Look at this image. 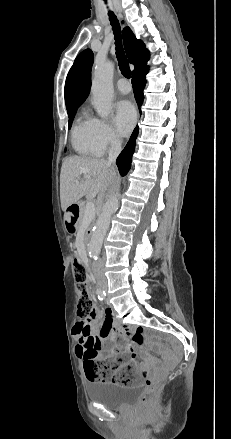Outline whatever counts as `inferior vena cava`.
Wrapping results in <instances>:
<instances>
[{
	"label": "inferior vena cava",
	"instance_id": "1",
	"mask_svg": "<svg viewBox=\"0 0 231 439\" xmlns=\"http://www.w3.org/2000/svg\"><path fill=\"white\" fill-rule=\"evenodd\" d=\"M121 145L122 142L119 138L115 137L111 141L107 162L108 164L112 165V167L115 164L119 153L121 152ZM103 266H104V261L102 259H99L93 266L94 273L103 276V272H102Z\"/></svg>",
	"mask_w": 231,
	"mask_h": 439
}]
</instances>
